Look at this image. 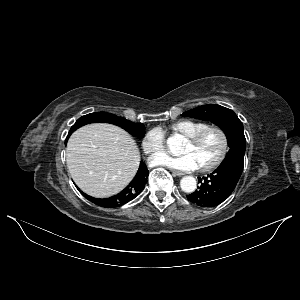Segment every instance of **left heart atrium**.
Here are the masks:
<instances>
[{"mask_svg": "<svg viewBox=\"0 0 300 300\" xmlns=\"http://www.w3.org/2000/svg\"><path fill=\"white\" fill-rule=\"evenodd\" d=\"M150 163L155 166H166L180 171H192L198 168L196 161L188 153L179 156L158 154L151 158Z\"/></svg>", "mask_w": 300, "mask_h": 300, "instance_id": "left-heart-atrium-1", "label": "left heart atrium"}]
</instances>
